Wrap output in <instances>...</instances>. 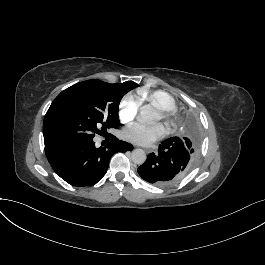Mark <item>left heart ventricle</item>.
<instances>
[{
    "instance_id": "left-heart-ventricle-1",
    "label": "left heart ventricle",
    "mask_w": 265,
    "mask_h": 265,
    "mask_svg": "<svg viewBox=\"0 0 265 265\" xmlns=\"http://www.w3.org/2000/svg\"><path fill=\"white\" fill-rule=\"evenodd\" d=\"M159 119H160V114L158 113Z\"/></svg>"
}]
</instances>
